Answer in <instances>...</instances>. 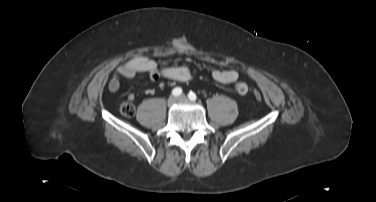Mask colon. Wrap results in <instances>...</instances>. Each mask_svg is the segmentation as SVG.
I'll return each instance as SVG.
<instances>
[{
    "label": "colon",
    "mask_w": 376,
    "mask_h": 202,
    "mask_svg": "<svg viewBox=\"0 0 376 202\" xmlns=\"http://www.w3.org/2000/svg\"><path fill=\"white\" fill-rule=\"evenodd\" d=\"M254 95H255V98L257 100H261L262 96H261V94L258 91H256L254 93ZM120 112L123 115L128 116V117L129 116H133L134 113H135V106H134L133 102L130 101V100H128V101L122 103V105L120 107Z\"/></svg>",
    "instance_id": "5ec220e1"
}]
</instances>
